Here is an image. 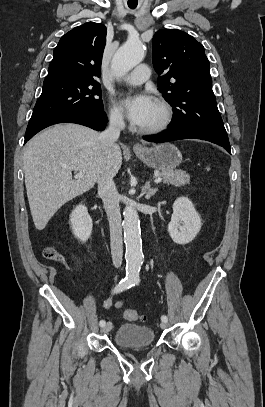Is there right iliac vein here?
Segmentation results:
<instances>
[{
  "mask_svg": "<svg viewBox=\"0 0 265 407\" xmlns=\"http://www.w3.org/2000/svg\"><path fill=\"white\" fill-rule=\"evenodd\" d=\"M112 328V323L111 322H107L103 328L101 329L102 332L106 333L109 332Z\"/></svg>",
  "mask_w": 265,
  "mask_h": 407,
  "instance_id": "obj_1",
  "label": "right iliac vein"
}]
</instances>
